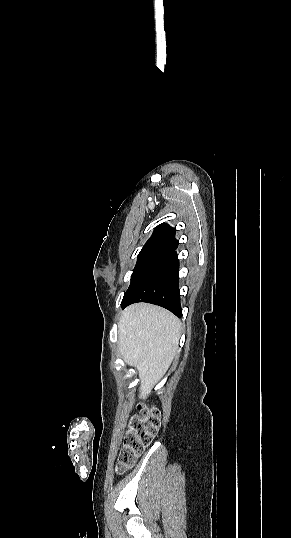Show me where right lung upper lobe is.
Masks as SVG:
<instances>
[{"instance_id":"right-lung-upper-lobe-1","label":"right lung upper lobe","mask_w":291,"mask_h":538,"mask_svg":"<svg viewBox=\"0 0 291 538\" xmlns=\"http://www.w3.org/2000/svg\"><path fill=\"white\" fill-rule=\"evenodd\" d=\"M175 229L167 224H160L155 228L154 233L145 243L142 250L148 249H168L174 251L179 242L175 239ZM141 250V251H142Z\"/></svg>"}]
</instances>
